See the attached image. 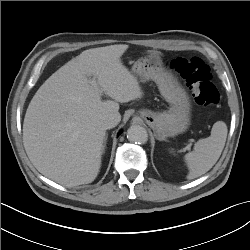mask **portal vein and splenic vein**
Masks as SVG:
<instances>
[{"instance_id": "obj_1", "label": "portal vein and splenic vein", "mask_w": 250, "mask_h": 250, "mask_svg": "<svg viewBox=\"0 0 250 250\" xmlns=\"http://www.w3.org/2000/svg\"><path fill=\"white\" fill-rule=\"evenodd\" d=\"M91 83H92L93 85H96V81H95V80H91Z\"/></svg>"}]
</instances>
